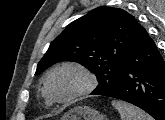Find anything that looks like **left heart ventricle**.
Returning a JSON list of instances; mask_svg holds the SVG:
<instances>
[{
  "label": "left heart ventricle",
  "mask_w": 165,
  "mask_h": 120,
  "mask_svg": "<svg viewBox=\"0 0 165 120\" xmlns=\"http://www.w3.org/2000/svg\"><path fill=\"white\" fill-rule=\"evenodd\" d=\"M84 85V78L72 69H65L54 74L50 81V89L58 98L68 97Z\"/></svg>",
  "instance_id": "obj_1"
}]
</instances>
